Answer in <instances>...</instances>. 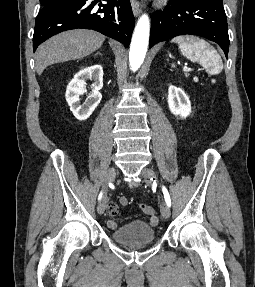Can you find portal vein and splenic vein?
I'll return each instance as SVG.
<instances>
[{"mask_svg":"<svg viewBox=\"0 0 255 287\" xmlns=\"http://www.w3.org/2000/svg\"><path fill=\"white\" fill-rule=\"evenodd\" d=\"M183 72H191L190 68H187V64H185Z\"/></svg>","mask_w":255,"mask_h":287,"instance_id":"1","label":"portal vein and splenic vein"}]
</instances>
